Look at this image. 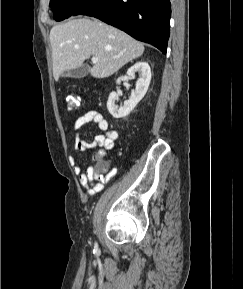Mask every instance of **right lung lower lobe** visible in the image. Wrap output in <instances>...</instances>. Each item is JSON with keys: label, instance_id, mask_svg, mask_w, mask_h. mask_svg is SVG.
Here are the masks:
<instances>
[{"label": "right lung lower lobe", "instance_id": "1", "mask_svg": "<svg viewBox=\"0 0 243 289\" xmlns=\"http://www.w3.org/2000/svg\"><path fill=\"white\" fill-rule=\"evenodd\" d=\"M170 14V0H86L71 16L98 18L165 54Z\"/></svg>", "mask_w": 243, "mask_h": 289}]
</instances>
